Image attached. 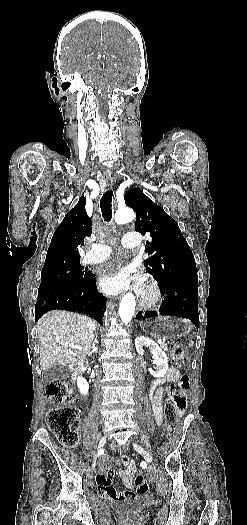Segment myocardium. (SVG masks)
Returning a JSON list of instances; mask_svg holds the SVG:
<instances>
[{"label": "myocardium", "instance_id": "myocardium-1", "mask_svg": "<svg viewBox=\"0 0 247 525\" xmlns=\"http://www.w3.org/2000/svg\"><path fill=\"white\" fill-rule=\"evenodd\" d=\"M144 282L148 283V288L144 292L142 300L139 303L140 307H151L155 305L161 298V289L158 282L150 274L143 276Z\"/></svg>", "mask_w": 247, "mask_h": 525}]
</instances>
